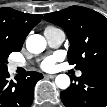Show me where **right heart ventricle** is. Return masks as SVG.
<instances>
[{"label":"right heart ventricle","instance_id":"obj_1","mask_svg":"<svg viewBox=\"0 0 107 107\" xmlns=\"http://www.w3.org/2000/svg\"><path fill=\"white\" fill-rule=\"evenodd\" d=\"M55 29H57V28L53 27V26H48V27L45 28V30H55Z\"/></svg>","mask_w":107,"mask_h":107}]
</instances>
